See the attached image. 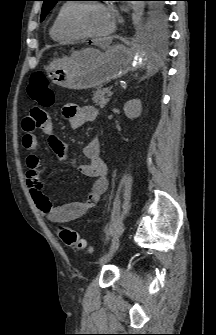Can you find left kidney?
Returning <instances> with one entry per match:
<instances>
[{"label":"left kidney","mask_w":216,"mask_h":335,"mask_svg":"<svg viewBox=\"0 0 216 335\" xmlns=\"http://www.w3.org/2000/svg\"><path fill=\"white\" fill-rule=\"evenodd\" d=\"M123 110L125 115L129 119L133 120L141 115L142 112L141 101L139 99L129 100L124 104Z\"/></svg>","instance_id":"left-kidney-1"}]
</instances>
